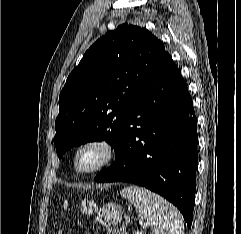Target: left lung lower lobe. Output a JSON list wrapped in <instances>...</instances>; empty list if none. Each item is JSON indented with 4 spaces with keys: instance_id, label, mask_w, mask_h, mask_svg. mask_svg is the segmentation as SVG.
Wrapping results in <instances>:
<instances>
[{
    "instance_id": "left-lung-lower-lobe-1",
    "label": "left lung lower lobe",
    "mask_w": 241,
    "mask_h": 234,
    "mask_svg": "<svg viewBox=\"0 0 241 234\" xmlns=\"http://www.w3.org/2000/svg\"><path fill=\"white\" fill-rule=\"evenodd\" d=\"M197 142L192 99L180 71L165 52L128 109L115 162L94 180L146 187L178 207L191 228Z\"/></svg>"
}]
</instances>
